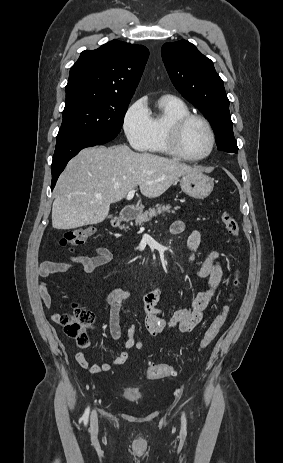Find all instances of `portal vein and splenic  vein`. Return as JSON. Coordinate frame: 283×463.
Returning <instances> with one entry per match:
<instances>
[{"mask_svg": "<svg viewBox=\"0 0 283 463\" xmlns=\"http://www.w3.org/2000/svg\"><path fill=\"white\" fill-rule=\"evenodd\" d=\"M134 194H135V190L131 189L126 196V199L131 200L134 197Z\"/></svg>", "mask_w": 283, "mask_h": 463, "instance_id": "portal-vein-and-splenic-vein-1", "label": "portal vein and splenic vein"}]
</instances>
